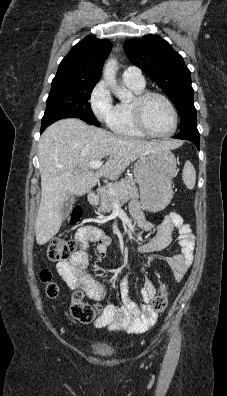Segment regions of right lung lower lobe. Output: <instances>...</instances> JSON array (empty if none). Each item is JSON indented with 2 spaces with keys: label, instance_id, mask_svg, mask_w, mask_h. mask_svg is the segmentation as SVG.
<instances>
[{
  "label": "right lung lower lobe",
  "instance_id": "98d812e1",
  "mask_svg": "<svg viewBox=\"0 0 227 396\" xmlns=\"http://www.w3.org/2000/svg\"><path fill=\"white\" fill-rule=\"evenodd\" d=\"M64 118H77L74 115L69 113H58L51 116L43 117L42 118V125H41V133L52 123L57 120L64 119Z\"/></svg>",
  "mask_w": 227,
  "mask_h": 396
}]
</instances>
